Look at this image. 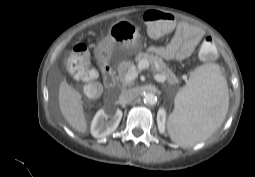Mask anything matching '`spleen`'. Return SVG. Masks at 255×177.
<instances>
[{"label":"spleen","instance_id":"3e777b00","mask_svg":"<svg viewBox=\"0 0 255 177\" xmlns=\"http://www.w3.org/2000/svg\"><path fill=\"white\" fill-rule=\"evenodd\" d=\"M176 109L169 116L171 139L183 147L207 139L224 121L229 94L226 79L218 65L199 66L176 95Z\"/></svg>","mask_w":255,"mask_h":177}]
</instances>
